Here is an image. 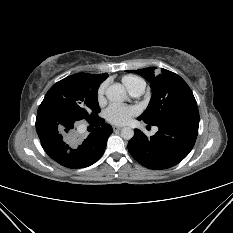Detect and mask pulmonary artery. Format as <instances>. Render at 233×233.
I'll list each match as a JSON object with an SVG mask.
<instances>
[{"mask_svg":"<svg viewBox=\"0 0 233 233\" xmlns=\"http://www.w3.org/2000/svg\"><path fill=\"white\" fill-rule=\"evenodd\" d=\"M143 92H144V88H137L131 91L130 94L134 97H139ZM154 131H157V129L155 128Z\"/></svg>","mask_w":233,"mask_h":233,"instance_id":"obj_1","label":"pulmonary artery"}]
</instances>
